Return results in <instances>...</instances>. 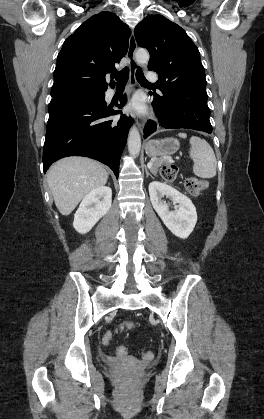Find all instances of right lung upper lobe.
<instances>
[{"label": "right lung upper lobe", "instance_id": "1", "mask_svg": "<svg viewBox=\"0 0 264 419\" xmlns=\"http://www.w3.org/2000/svg\"><path fill=\"white\" fill-rule=\"evenodd\" d=\"M130 35L129 27L112 12L98 13L82 23L58 54L51 96L106 91L105 76L117 72L115 64L126 55ZM109 85H115L112 76Z\"/></svg>", "mask_w": 264, "mask_h": 419}]
</instances>
